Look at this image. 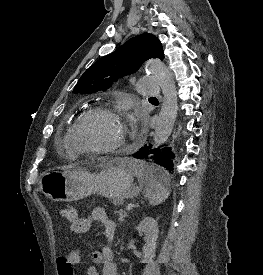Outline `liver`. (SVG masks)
Here are the masks:
<instances>
[{
  "instance_id": "6515ba94",
  "label": "liver",
  "mask_w": 263,
  "mask_h": 275,
  "mask_svg": "<svg viewBox=\"0 0 263 275\" xmlns=\"http://www.w3.org/2000/svg\"><path fill=\"white\" fill-rule=\"evenodd\" d=\"M118 161L121 162V161H126V160H121V159H119ZM112 162H113V161H110L109 164H111Z\"/></svg>"
}]
</instances>
